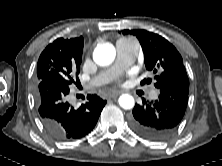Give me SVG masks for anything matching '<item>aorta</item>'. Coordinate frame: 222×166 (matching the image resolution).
I'll list each match as a JSON object with an SVG mask.
<instances>
[{
  "instance_id": "1",
  "label": "aorta",
  "mask_w": 222,
  "mask_h": 166,
  "mask_svg": "<svg viewBox=\"0 0 222 166\" xmlns=\"http://www.w3.org/2000/svg\"><path fill=\"white\" fill-rule=\"evenodd\" d=\"M116 56L115 47L110 43H103L98 45L93 53V59L96 64L100 66L110 65ZM119 105L126 110L132 109L135 105L133 96L129 94H122L118 99Z\"/></svg>"
}]
</instances>
